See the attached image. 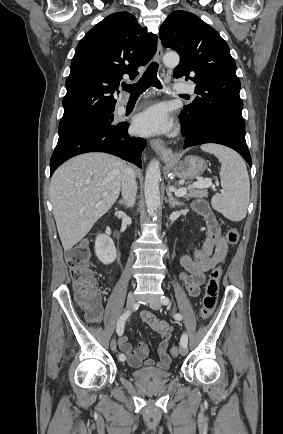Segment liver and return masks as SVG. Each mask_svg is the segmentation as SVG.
I'll use <instances>...</instances> for the list:
<instances>
[{
	"mask_svg": "<svg viewBox=\"0 0 283 434\" xmlns=\"http://www.w3.org/2000/svg\"><path fill=\"white\" fill-rule=\"evenodd\" d=\"M126 167L121 159L96 152L76 156L55 171L50 200L64 251L77 244L114 205Z\"/></svg>",
	"mask_w": 283,
	"mask_h": 434,
	"instance_id": "liver-1",
	"label": "liver"
}]
</instances>
